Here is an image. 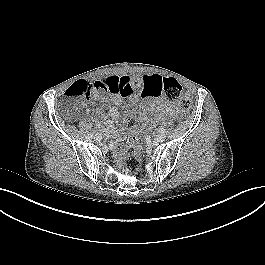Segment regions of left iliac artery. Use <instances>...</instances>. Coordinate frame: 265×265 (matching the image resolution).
<instances>
[{"label": "left iliac artery", "mask_w": 265, "mask_h": 265, "mask_svg": "<svg viewBox=\"0 0 265 265\" xmlns=\"http://www.w3.org/2000/svg\"><path fill=\"white\" fill-rule=\"evenodd\" d=\"M159 132L160 133H164L165 132V129L162 127V128L159 129Z\"/></svg>", "instance_id": "1"}]
</instances>
